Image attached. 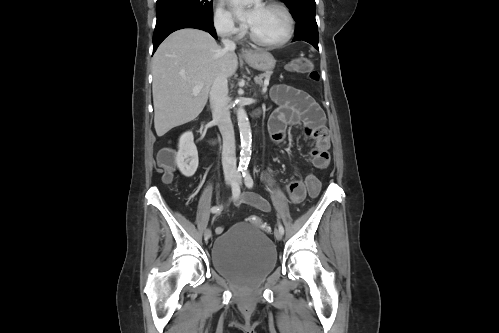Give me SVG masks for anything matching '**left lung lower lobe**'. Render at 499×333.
<instances>
[{
    "label": "left lung lower lobe",
    "instance_id": "1",
    "mask_svg": "<svg viewBox=\"0 0 499 333\" xmlns=\"http://www.w3.org/2000/svg\"><path fill=\"white\" fill-rule=\"evenodd\" d=\"M295 38L293 41H306L318 49V28L315 18L308 17L297 20Z\"/></svg>",
    "mask_w": 499,
    "mask_h": 333
}]
</instances>
